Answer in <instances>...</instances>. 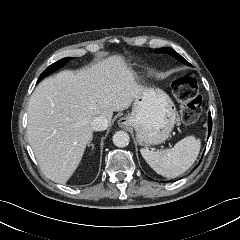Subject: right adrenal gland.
<instances>
[{
  "mask_svg": "<svg viewBox=\"0 0 240 240\" xmlns=\"http://www.w3.org/2000/svg\"><path fill=\"white\" fill-rule=\"evenodd\" d=\"M91 142V141H90ZM90 142H89V144H88V146H92V149H94V144H90Z\"/></svg>",
  "mask_w": 240,
  "mask_h": 240,
  "instance_id": "right-adrenal-gland-1",
  "label": "right adrenal gland"
}]
</instances>
